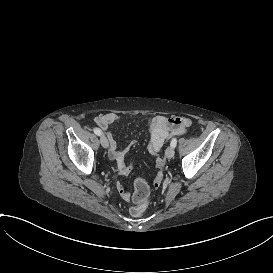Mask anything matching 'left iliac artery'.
Wrapping results in <instances>:
<instances>
[{
	"label": "left iliac artery",
	"instance_id": "1",
	"mask_svg": "<svg viewBox=\"0 0 273 273\" xmlns=\"http://www.w3.org/2000/svg\"><path fill=\"white\" fill-rule=\"evenodd\" d=\"M176 144H177V139L176 138L172 139L170 143L171 147L175 148Z\"/></svg>",
	"mask_w": 273,
	"mask_h": 273
}]
</instances>
